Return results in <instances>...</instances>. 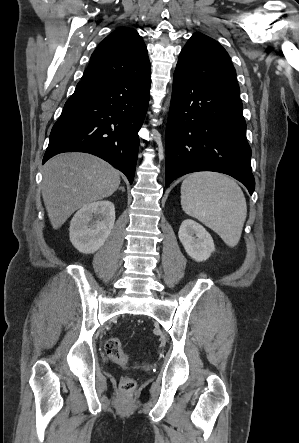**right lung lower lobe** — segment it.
Returning a JSON list of instances; mask_svg holds the SVG:
<instances>
[{"label": "right lung lower lobe", "instance_id": "right-lung-lower-lobe-1", "mask_svg": "<svg viewBox=\"0 0 299 443\" xmlns=\"http://www.w3.org/2000/svg\"><path fill=\"white\" fill-rule=\"evenodd\" d=\"M150 74L107 81H80L54 124L43 158L63 152L96 155L133 182Z\"/></svg>", "mask_w": 299, "mask_h": 443}]
</instances>
